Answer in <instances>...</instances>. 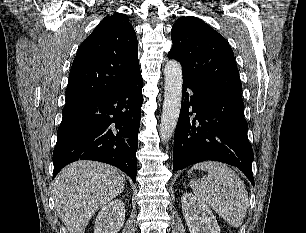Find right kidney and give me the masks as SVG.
I'll list each match as a JSON object with an SVG mask.
<instances>
[{"instance_id": "1", "label": "right kidney", "mask_w": 306, "mask_h": 233, "mask_svg": "<svg viewBox=\"0 0 306 233\" xmlns=\"http://www.w3.org/2000/svg\"><path fill=\"white\" fill-rule=\"evenodd\" d=\"M125 221V206L121 200H114L99 212L94 233H118Z\"/></svg>"}]
</instances>
